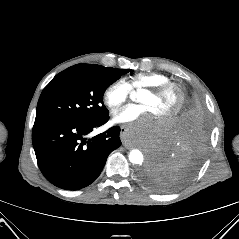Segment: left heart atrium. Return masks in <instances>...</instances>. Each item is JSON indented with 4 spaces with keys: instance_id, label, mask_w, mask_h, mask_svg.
Instances as JSON below:
<instances>
[{
    "instance_id": "obj_1",
    "label": "left heart atrium",
    "mask_w": 239,
    "mask_h": 239,
    "mask_svg": "<svg viewBox=\"0 0 239 239\" xmlns=\"http://www.w3.org/2000/svg\"><path fill=\"white\" fill-rule=\"evenodd\" d=\"M156 117L153 110L147 105H129L114 115V122L126 125L137 122L130 126L131 138L135 139L136 135H143L154 130Z\"/></svg>"
}]
</instances>
